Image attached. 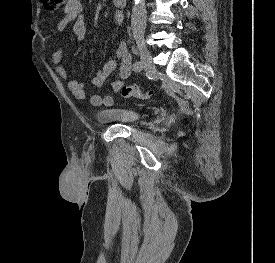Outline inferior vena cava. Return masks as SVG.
Instances as JSON below:
<instances>
[{
    "label": "inferior vena cava",
    "instance_id": "obj_1",
    "mask_svg": "<svg viewBox=\"0 0 275 263\" xmlns=\"http://www.w3.org/2000/svg\"><path fill=\"white\" fill-rule=\"evenodd\" d=\"M135 1H138V4H135L132 9L131 26L133 33L142 34L146 27L145 0Z\"/></svg>",
    "mask_w": 275,
    "mask_h": 263
}]
</instances>
